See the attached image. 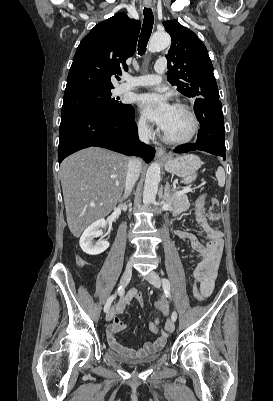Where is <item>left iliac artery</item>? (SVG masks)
Wrapping results in <instances>:
<instances>
[{
	"label": "left iliac artery",
	"instance_id": "left-iliac-artery-1",
	"mask_svg": "<svg viewBox=\"0 0 273 401\" xmlns=\"http://www.w3.org/2000/svg\"><path fill=\"white\" fill-rule=\"evenodd\" d=\"M162 284H163V289H164V291H165V294H166L169 298H171V294H170V282H169V280L166 279V278H163V279H162ZM171 319H172L173 321H175V320L177 319V313H176L175 311L172 313Z\"/></svg>",
	"mask_w": 273,
	"mask_h": 401
}]
</instances>
